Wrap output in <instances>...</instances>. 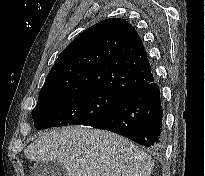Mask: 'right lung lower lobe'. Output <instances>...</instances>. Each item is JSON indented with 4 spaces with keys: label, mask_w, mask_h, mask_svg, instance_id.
<instances>
[{
    "label": "right lung lower lobe",
    "mask_w": 205,
    "mask_h": 176,
    "mask_svg": "<svg viewBox=\"0 0 205 176\" xmlns=\"http://www.w3.org/2000/svg\"><path fill=\"white\" fill-rule=\"evenodd\" d=\"M91 127L120 134L160 152L165 143L163 110L154 79L126 94L109 114Z\"/></svg>",
    "instance_id": "1"
}]
</instances>
